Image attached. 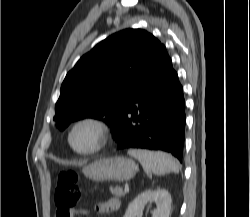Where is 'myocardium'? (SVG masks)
Segmentation results:
<instances>
[{"label": "myocardium", "mask_w": 250, "mask_h": 217, "mask_svg": "<svg viewBox=\"0 0 250 217\" xmlns=\"http://www.w3.org/2000/svg\"><path fill=\"white\" fill-rule=\"evenodd\" d=\"M84 126H87L93 129L94 134H95V142L89 148L77 149L74 147L72 143V136L77 129H79L80 127H84ZM108 135H109V128L104 121L95 117H84V118L78 119L71 125L68 131L67 141H68L70 148L75 153L80 154V155H91V154L98 152L105 146L108 140Z\"/></svg>", "instance_id": "1"}]
</instances>
